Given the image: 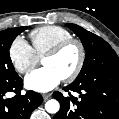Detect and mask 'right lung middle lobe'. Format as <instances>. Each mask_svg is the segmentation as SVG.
I'll use <instances>...</instances> for the list:
<instances>
[{
    "mask_svg": "<svg viewBox=\"0 0 119 119\" xmlns=\"http://www.w3.org/2000/svg\"><path fill=\"white\" fill-rule=\"evenodd\" d=\"M27 28L28 26H23L0 31V78L8 79L18 75L10 59L9 50L13 40Z\"/></svg>",
    "mask_w": 119,
    "mask_h": 119,
    "instance_id": "1",
    "label": "right lung middle lobe"
}]
</instances>
